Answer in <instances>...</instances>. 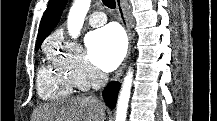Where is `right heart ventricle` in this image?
I'll return each instance as SVG.
<instances>
[{
    "label": "right heart ventricle",
    "instance_id": "obj_1",
    "mask_svg": "<svg viewBox=\"0 0 217 121\" xmlns=\"http://www.w3.org/2000/svg\"><path fill=\"white\" fill-rule=\"evenodd\" d=\"M75 85L59 67L42 66L38 72L37 89L43 100H59L70 96Z\"/></svg>",
    "mask_w": 217,
    "mask_h": 121
}]
</instances>
